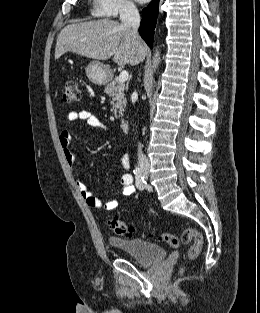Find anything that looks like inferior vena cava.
Instances as JSON below:
<instances>
[{
    "label": "inferior vena cava",
    "instance_id": "1",
    "mask_svg": "<svg viewBox=\"0 0 260 313\" xmlns=\"http://www.w3.org/2000/svg\"><path fill=\"white\" fill-rule=\"evenodd\" d=\"M119 13L122 24L131 28L133 34L138 36L140 15L136 6L133 3L124 2ZM138 160L141 167H149V161L142 153L141 144L138 145Z\"/></svg>",
    "mask_w": 260,
    "mask_h": 313
}]
</instances>
